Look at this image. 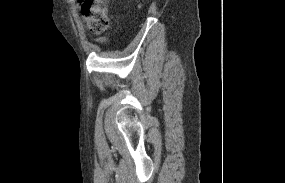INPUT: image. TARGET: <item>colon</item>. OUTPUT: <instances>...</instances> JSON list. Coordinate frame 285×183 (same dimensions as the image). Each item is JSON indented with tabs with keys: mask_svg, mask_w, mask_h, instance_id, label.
Instances as JSON below:
<instances>
[{
	"mask_svg": "<svg viewBox=\"0 0 285 183\" xmlns=\"http://www.w3.org/2000/svg\"><path fill=\"white\" fill-rule=\"evenodd\" d=\"M81 12L92 32L100 33L109 28V0H83Z\"/></svg>",
	"mask_w": 285,
	"mask_h": 183,
	"instance_id": "obj_1",
	"label": "colon"
}]
</instances>
